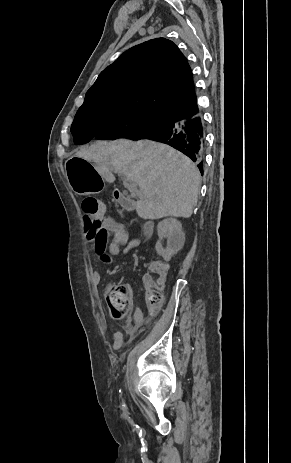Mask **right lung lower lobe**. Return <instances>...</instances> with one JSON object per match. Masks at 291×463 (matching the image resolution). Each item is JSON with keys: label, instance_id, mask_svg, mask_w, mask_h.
<instances>
[{"label": "right lung lower lobe", "instance_id": "right-lung-lower-lobe-1", "mask_svg": "<svg viewBox=\"0 0 291 463\" xmlns=\"http://www.w3.org/2000/svg\"><path fill=\"white\" fill-rule=\"evenodd\" d=\"M151 139L168 144L196 162L203 174L204 128L200 115L184 118L182 115L165 116L164 123L139 136L136 140Z\"/></svg>", "mask_w": 291, "mask_h": 463}]
</instances>
